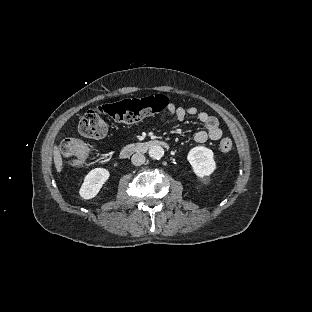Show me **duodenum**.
Segmentation results:
<instances>
[{
    "label": "duodenum",
    "instance_id": "410a0bca",
    "mask_svg": "<svg viewBox=\"0 0 312 312\" xmlns=\"http://www.w3.org/2000/svg\"><path fill=\"white\" fill-rule=\"evenodd\" d=\"M160 146L169 148V143L161 139H148L126 145L121 151V157L127 158L134 153H143L149 149Z\"/></svg>",
    "mask_w": 312,
    "mask_h": 312
}]
</instances>
